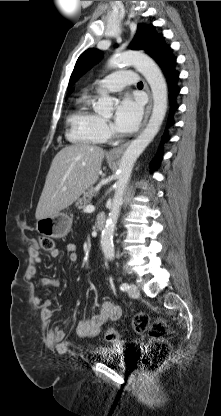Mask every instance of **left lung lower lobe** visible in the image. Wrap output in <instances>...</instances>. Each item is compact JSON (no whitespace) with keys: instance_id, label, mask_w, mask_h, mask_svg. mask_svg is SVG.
<instances>
[{"instance_id":"obj_1","label":"left lung lower lobe","mask_w":221,"mask_h":416,"mask_svg":"<svg viewBox=\"0 0 221 416\" xmlns=\"http://www.w3.org/2000/svg\"><path fill=\"white\" fill-rule=\"evenodd\" d=\"M149 55L154 58L159 65L161 66L163 73L167 79L168 89H169V101H170V113L167 121V125L171 126L174 124L172 121L173 112L178 108L175 98L179 93V89L176 86V81L179 77V74L174 70V65L176 59L171 55V49L168 45L163 43V37L161 36L158 42L154 45L153 49ZM169 138L165 133L163 135L162 144L165 141H168ZM162 154L159 153L154 161V165L161 159Z\"/></svg>"}]
</instances>
